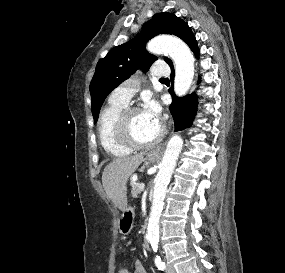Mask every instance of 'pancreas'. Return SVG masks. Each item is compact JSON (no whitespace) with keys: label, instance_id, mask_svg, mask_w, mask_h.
<instances>
[{"label":"pancreas","instance_id":"pancreas-1","mask_svg":"<svg viewBox=\"0 0 285 273\" xmlns=\"http://www.w3.org/2000/svg\"><path fill=\"white\" fill-rule=\"evenodd\" d=\"M130 185H131V188H132V191H131L132 196H133L134 198H137V197H138V194H140V192H141V190L139 189L140 183L137 182V181L131 180Z\"/></svg>","mask_w":285,"mask_h":273}]
</instances>
